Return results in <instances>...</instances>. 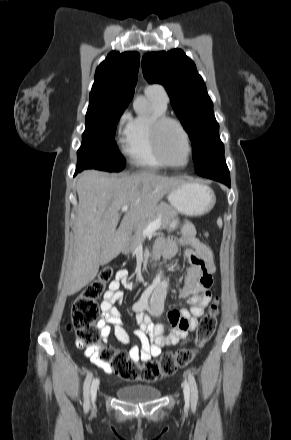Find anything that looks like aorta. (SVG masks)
Instances as JSON below:
<instances>
[{
	"label": "aorta",
	"instance_id": "1",
	"mask_svg": "<svg viewBox=\"0 0 291 440\" xmlns=\"http://www.w3.org/2000/svg\"><path fill=\"white\" fill-rule=\"evenodd\" d=\"M134 110L137 113H145L148 109L147 100L143 96H138L133 104ZM167 293V283L165 281H158L154 284L153 293L151 296V301L162 302Z\"/></svg>",
	"mask_w": 291,
	"mask_h": 440
}]
</instances>
